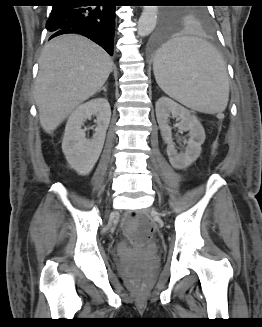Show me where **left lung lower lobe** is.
<instances>
[{"instance_id":"1","label":"left lung lower lobe","mask_w":262,"mask_h":327,"mask_svg":"<svg viewBox=\"0 0 262 327\" xmlns=\"http://www.w3.org/2000/svg\"><path fill=\"white\" fill-rule=\"evenodd\" d=\"M169 37L170 35L168 28L160 26L149 40V50L152 52H158L161 50V48H163V46H165Z\"/></svg>"}]
</instances>
